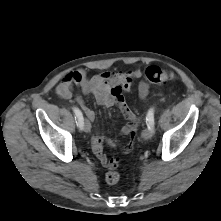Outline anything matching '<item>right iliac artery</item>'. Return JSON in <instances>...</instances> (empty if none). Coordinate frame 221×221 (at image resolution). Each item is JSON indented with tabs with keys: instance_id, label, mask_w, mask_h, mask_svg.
<instances>
[{
	"instance_id": "right-iliac-artery-1",
	"label": "right iliac artery",
	"mask_w": 221,
	"mask_h": 221,
	"mask_svg": "<svg viewBox=\"0 0 221 221\" xmlns=\"http://www.w3.org/2000/svg\"><path fill=\"white\" fill-rule=\"evenodd\" d=\"M73 111H74V114H75V118H76V123H77V126L82 129L83 127V114L82 112L78 109V108H73Z\"/></svg>"
}]
</instances>
